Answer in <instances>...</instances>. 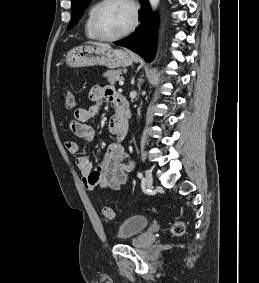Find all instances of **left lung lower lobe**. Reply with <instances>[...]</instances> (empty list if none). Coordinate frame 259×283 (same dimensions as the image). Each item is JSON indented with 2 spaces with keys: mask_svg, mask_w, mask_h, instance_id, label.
I'll list each match as a JSON object with an SVG mask.
<instances>
[{
  "mask_svg": "<svg viewBox=\"0 0 259 283\" xmlns=\"http://www.w3.org/2000/svg\"><path fill=\"white\" fill-rule=\"evenodd\" d=\"M140 2L142 3V11L140 12L141 26L128 38L118 41L115 44L126 47L144 57L148 62H151L155 51L158 21L150 13L148 1L140 0Z\"/></svg>",
  "mask_w": 259,
  "mask_h": 283,
  "instance_id": "1",
  "label": "left lung lower lobe"
}]
</instances>
